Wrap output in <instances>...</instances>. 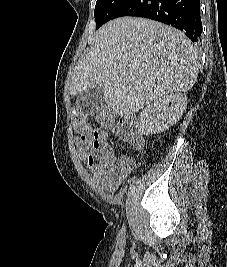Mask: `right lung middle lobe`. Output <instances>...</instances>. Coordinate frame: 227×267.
<instances>
[{"label": "right lung middle lobe", "mask_w": 227, "mask_h": 267, "mask_svg": "<svg viewBox=\"0 0 227 267\" xmlns=\"http://www.w3.org/2000/svg\"><path fill=\"white\" fill-rule=\"evenodd\" d=\"M128 0H97L94 17L96 21V29L102 26L107 21L113 19L115 13Z\"/></svg>", "instance_id": "obj_1"}]
</instances>
